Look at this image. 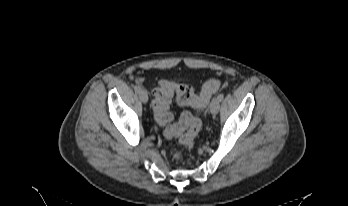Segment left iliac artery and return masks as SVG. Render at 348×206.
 Returning a JSON list of instances; mask_svg holds the SVG:
<instances>
[{
	"instance_id": "obj_1",
	"label": "left iliac artery",
	"mask_w": 348,
	"mask_h": 206,
	"mask_svg": "<svg viewBox=\"0 0 348 206\" xmlns=\"http://www.w3.org/2000/svg\"><path fill=\"white\" fill-rule=\"evenodd\" d=\"M218 100L219 101H222L223 98H224V94L223 93H220L218 96H217Z\"/></svg>"
}]
</instances>
